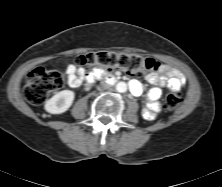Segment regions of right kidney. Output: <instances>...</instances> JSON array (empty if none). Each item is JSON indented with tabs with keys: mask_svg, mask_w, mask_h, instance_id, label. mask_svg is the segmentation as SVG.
Listing matches in <instances>:
<instances>
[{
	"mask_svg": "<svg viewBox=\"0 0 222 187\" xmlns=\"http://www.w3.org/2000/svg\"><path fill=\"white\" fill-rule=\"evenodd\" d=\"M75 94L71 90H63L56 93L45 103V110L51 114L66 112L73 103Z\"/></svg>",
	"mask_w": 222,
	"mask_h": 187,
	"instance_id": "obj_1",
	"label": "right kidney"
}]
</instances>
